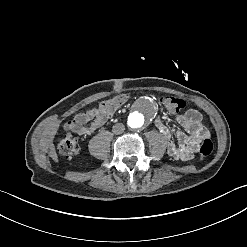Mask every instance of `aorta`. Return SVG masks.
Wrapping results in <instances>:
<instances>
[{
    "label": "aorta",
    "mask_w": 247,
    "mask_h": 247,
    "mask_svg": "<svg viewBox=\"0 0 247 247\" xmlns=\"http://www.w3.org/2000/svg\"><path fill=\"white\" fill-rule=\"evenodd\" d=\"M128 123L131 128H139L144 123V117L142 114L135 112L129 117Z\"/></svg>",
    "instance_id": "aorta-1"
}]
</instances>
